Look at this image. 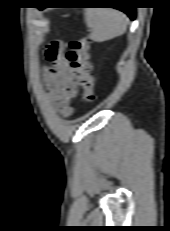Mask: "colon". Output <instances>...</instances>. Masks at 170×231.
<instances>
[{
	"mask_svg": "<svg viewBox=\"0 0 170 231\" xmlns=\"http://www.w3.org/2000/svg\"><path fill=\"white\" fill-rule=\"evenodd\" d=\"M92 41L83 37L70 43L67 60L70 68L77 77V82L83 90V99L92 102L95 99V76L91 60Z\"/></svg>",
	"mask_w": 170,
	"mask_h": 231,
	"instance_id": "5ec220e1",
	"label": "colon"
}]
</instances>
